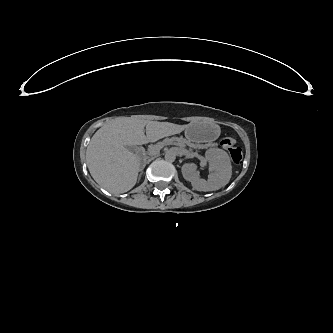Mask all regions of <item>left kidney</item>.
Wrapping results in <instances>:
<instances>
[{
  "label": "left kidney",
  "mask_w": 333,
  "mask_h": 333,
  "mask_svg": "<svg viewBox=\"0 0 333 333\" xmlns=\"http://www.w3.org/2000/svg\"><path fill=\"white\" fill-rule=\"evenodd\" d=\"M209 165L208 179L201 178L195 163L182 166L183 177L198 191H216L224 187L232 175V166L227 153L221 149H209L205 152Z\"/></svg>",
  "instance_id": "obj_1"
}]
</instances>
